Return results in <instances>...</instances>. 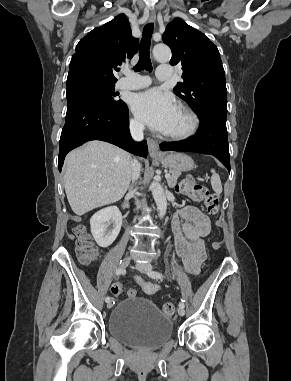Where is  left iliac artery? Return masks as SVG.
<instances>
[{
    "instance_id": "44dca946",
    "label": "left iliac artery",
    "mask_w": 291,
    "mask_h": 381,
    "mask_svg": "<svg viewBox=\"0 0 291 381\" xmlns=\"http://www.w3.org/2000/svg\"><path fill=\"white\" fill-rule=\"evenodd\" d=\"M148 276L154 279H162L164 277V275L158 271H150L148 272ZM179 307H185L183 300H181V302L179 303Z\"/></svg>"
}]
</instances>
